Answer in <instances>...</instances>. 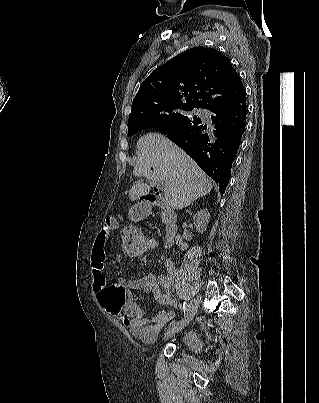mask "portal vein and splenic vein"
<instances>
[{
  "instance_id": "obj_1",
  "label": "portal vein and splenic vein",
  "mask_w": 319,
  "mask_h": 403,
  "mask_svg": "<svg viewBox=\"0 0 319 403\" xmlns=\"http://www.w3.org/2000/svg\"><path fill=\"white\" fill-rule=\"evenodd\" d=\"M160 186H161V190L166 191L167 186H166V184H165L164 182H161V183H160Z\"/></svg>"
}]
</instances>
